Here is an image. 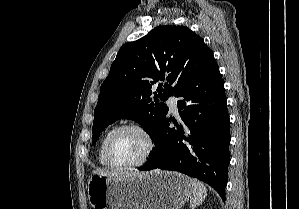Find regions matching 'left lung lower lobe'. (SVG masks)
Returning a JSON list of instances; mask_svg holds the SVG:
<instances>
[{
    "mask_svg": "<svg viewBox=\"0 0 299 209\" xmlns=\"http://www.w3.org/2000/svg\"><path fill=\"white\" fill-rule=\"evenodd\" d=\"M181 124L166 117L154 136L156 145L139 170L160 168L196 177L225 201L230 163V127L224 83L213 57L176 93ZM173 121L177 129L169 128Z\"/></svg>",
    "mask_w": 299,
    "mask_h": 209,
    "instance_id": "left-lung-lower-lobe-1",
    "label": "left lung lower lobe"
}]
</instances>
